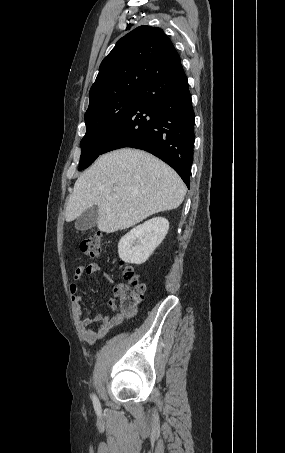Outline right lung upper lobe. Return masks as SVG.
<instances>
[{"label":"right lung upper lobe","instance_id":"obj_1","mask_svg":"<svg viewBox=\"0 0 285 453\" xmlns=\"http://www.w3.org/2000/svg\"><path fill=\"white\" fill-rule=\"evenodd\" d=\"M179 64L180 57L161 28L137 27L101 62L89 92L88 110L117 96L141 91L150 80Z\"/></svg>","mask_w":285,"mask_h":453}]
</instances>
